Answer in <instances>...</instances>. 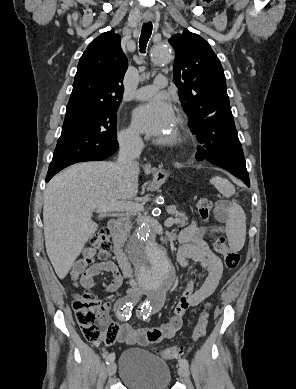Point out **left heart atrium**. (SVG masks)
I'll return each instance as SVG.
<instances>
[{"label":"left heart atrium","mask_w":296,"mask_h":389,"mask_svg":"<svg viewBox=\"0 0 296 389\" xmlns=\"http://www.w3.org/2000/svg\"><path fill=\"white\" fill-rule=\"evenodd\" d=\"M132 123L138 132L152 136L165 134L174 123L172 106L162 97L154 98L132 111Z\"/></svg>","instance_id":"1"}]
</instances>
